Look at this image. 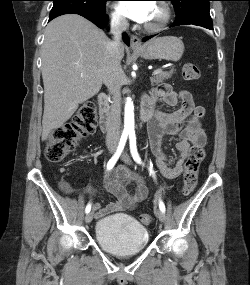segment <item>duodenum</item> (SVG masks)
<instances>
[{
    "label": "duodenum",
    "instance_id": "duodenum-1",
    "mask_svg": "<svg viewBox=\"0 0 250 285\" xmlns=\"http://www.w3.org/2000/svg\"><path fill=\"white\" fill-rule=\"evenodd\" d=\"M99 105V123L102 131H107L110 127V107L109 98L105 93L98 96ZM152 114V109L149 104L143 103L140 110V118L142 121H147Z\"/></svg>",
    "mask_w": 250,
    "mask_h": 285
}]
</instances>
